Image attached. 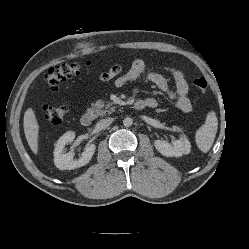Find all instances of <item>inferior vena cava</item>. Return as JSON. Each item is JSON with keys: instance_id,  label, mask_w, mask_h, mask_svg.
I'll use <instances>...</instances> for the list:
<instances>
[{"instance_id": "inferior-vena-cava-1", "label": "inferior vena cava", "mask_w": 249, "mask_h": 249, "mask_svg": "<svg viewBox=\"0 0 249 249\" xmlns=\"http://www.w3.org/2000/svg\"><path fill=\"white\" fill-rule=\"evenodd\" d=\"M112 122H113V118H106V119L100 120L96 124V127L98 129H104V128L108 127Z\"/></svg>"}]
</instances>
